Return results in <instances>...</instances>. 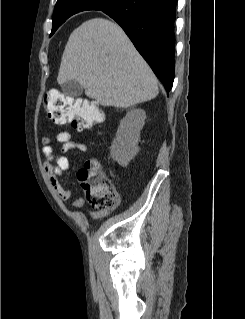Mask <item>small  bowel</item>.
Listing matches in <instances>:
<instances>
[{
	"label": "small bowel",
	"mask_w": 245,
	"mask_h": 319,
	"mask_svg": "<svg viewBox=\"0 0 245 319\" xmlns=\"http://www.w3.org/2000/svg\"><path fill=\"white\" fill-rule=\"evenodd\" d=\"M56 142L60 144V150L62 153H67L71 150H79L81 152H86L88 150V146L85 143L73 140L71 138V134L67 131L58 132L56 135ZM42 152L45 156L44 169L49 178L51 186L62 200H70L72 196L71 190L63 187L61 184V177L70 166L68 157L65 155L56 154L54 152L52 140L49 136H44L42 138ZM82 205V198H77L72 203L74 208H80ZM108 214L109 213L104 210L89 213L90 217L94 220H100L106 217Z\"/></svg>",
	"instance_id": "c3829d8e"
}]
</instances>
